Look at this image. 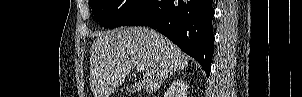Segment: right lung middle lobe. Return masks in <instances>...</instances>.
<instances>
[{"label":"right lung middle lobe","instance_id":"dd1d6c3e","mask_svg":"<svg viewBox=\"0 0 302 97\" xmlns=\"http://www.w3.org/2000/svg\"><path fill=\"white\" fill-rule=\"evenodd\" d=\"M146 0H89L95 19L104 28L122 26Z\"/></svg>","mask_w":302,"mask_h":97}]
</instances>
